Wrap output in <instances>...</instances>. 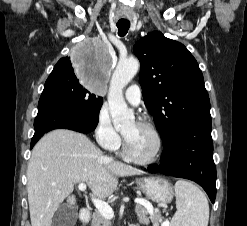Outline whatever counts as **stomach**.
Masks as SVG:
<instances>
[{
	"mask_svg": "<svg viewBox=\"0 0 247 226\" xmlns=\"http://www.w3.org/2000/svg\"><path fill=\"white\" fill-rule=\"evenodd\" d=\"M140 190L152 201L157 203H170L173 199V187L164 178L144 177L136 179Z\"/></svg>",
	"mask_w": 247,
	"mask_h": 226,
	"instance_id": "1",
	"label": "stomach"
}]
</instances>
